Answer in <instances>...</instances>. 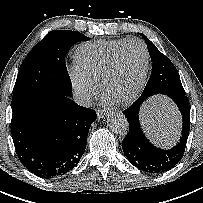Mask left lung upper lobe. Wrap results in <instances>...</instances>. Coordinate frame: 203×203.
Here are the masks:
<instances>
[{
	"label": "left lung upper lobe",
	"mask_w": 203,
	"mask_h": 203,
	"mask_svg": "<svg viewBox=\"0 0 203 203\" xmlns=\"http://www.w3.org/2000/svg\"><path fill=\"white\" fill-rule=\"evenodd\" d=\"M139 34L146 41L153 62L152 74L142 95L144 97H150L158 93L168 96L185 95V90L173 63L145 35Z\"/></svg>",
	"instance_id": "1"
}]
</instances>
